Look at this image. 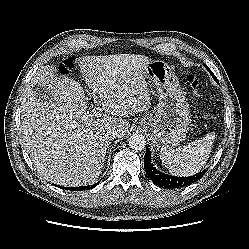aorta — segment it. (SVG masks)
<instances>
[{
    "label": "aorta",
    "mask_w": 249,
    "mask_h": 249,
    "mask_svg": "<svg viewBox=\"0 0 249 249\" xmlns=\"http://www.w3.org/2000/svg\"><path fill=\"white\" fill-rule=\"evenodd\" d=\"M128 142L130 148L136 151H141L146 146V140L142 134L131 135Z\"/></svg>",
    "instance_id": "obj_1"
}]
</instances>
